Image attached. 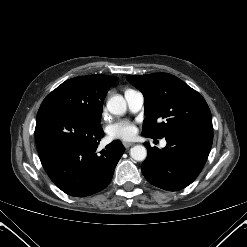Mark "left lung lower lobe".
Listing matches in <instances>:
<instances>
[{
  "mask_svg": "<svg viewBox=\"0 0 247 247\" xmlns=\"http://www.w3.org/2000/svg\"><path fill=\"white\" fill-rule=\"evenodd\" d=\"M165 138L167 145L163 150L144 144L148 156L141 169L154 186L177 191L191 184L201 172L211 150L213 127L212 124L188 126Z\"/></svg>",
  "mask_w": 247,
  "mask_h": 247,
  "instance_id": "obj_1",
  "label": "left lung lower lobe"
}]
</instances>
